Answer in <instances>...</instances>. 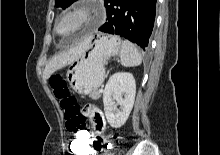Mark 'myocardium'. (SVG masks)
I'll return each instance as SVG.
<instances>
[{"mask_svg":"<svg viewBox=\"0 0 220 155\" xmlns=\"http://www.w3.org/2000/svg\"><path fill=\"white\" fill-rule=\"evenodd\" d=\"M100 7L96 0H82L72 7L62 11L55 19L53 31L59 36H66L78 33L90 26L99 16ZM74 18L77 20L76 28L69 34H61L58 31V24L63 19Z\"/></svg>","mask_w":220,"mask_h":155,"instance_id":"f54148a6","label":"myocardium"}]
</instances>
